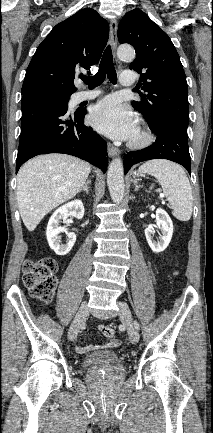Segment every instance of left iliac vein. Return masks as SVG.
Here are the masks:
<instances>
[{"mask_svg": "<svg viewBox=\"0 0 213 433\" xmlns=\"http://www.w3.org/2000/svg\"><path fill=\"white\" fill-rule=\"evenodd\" d=\"M119 318L127 328L128 336L133 344L138 343L139 333L133 324V318L128 305L124 302H118Z\"/></svg>", "mask_w": 213, "mask_h": 433, "instance_id": "1", "label": "left iliac vein"}]
</instances>
